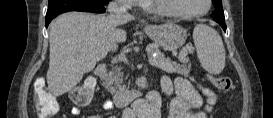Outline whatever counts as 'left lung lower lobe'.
I'll return each mask as SVG.
<instances>
[{
    "label": "left lung lower lobe",
    "mask_w": 273,
    "mask_h": 118,
    "mask_svg": "<svg viewBox=\"0 0 273 118\" xmlns=\"http://www.w3.org/2000/svg\"><path fill=\"white\" fill-rule=\"evenodd\" d=\"M224 31H226V25L225 23L220 24Z\"/></svg>",
    "instance_id": "1"
}]
</instances>
